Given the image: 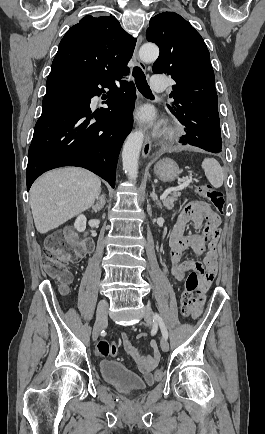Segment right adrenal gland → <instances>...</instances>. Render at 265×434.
I'll use <instances>...</instances> for the list:
<instances>
[{
	"label": "right adrenal gland",
	"instance_id": "obj_1",
	"mask_svg": "<svg viewBox=\"0 0 265 434\" xmlns=\"http://www.w3.org/2000/svg\"><path fill=\"white\" fill-rule=\"evenodd\" d=\"M96 200L97 202L95 206H92V210H94V214H97V212H100V210L104 208L106 204L105 194H102V196H96Z\"/></svg>",
	"mask_w": 265,
	"mask_h": 434
}]
</instances>
